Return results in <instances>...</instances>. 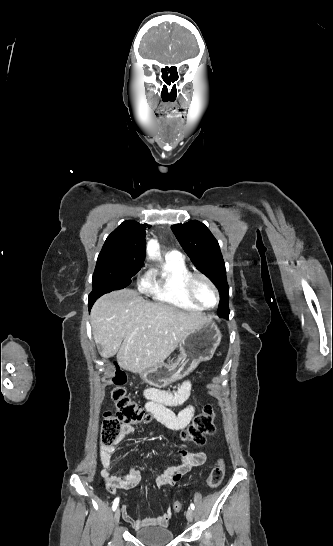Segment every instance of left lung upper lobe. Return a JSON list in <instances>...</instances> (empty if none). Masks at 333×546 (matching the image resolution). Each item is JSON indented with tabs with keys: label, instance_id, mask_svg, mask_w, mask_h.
<instances>
[{
	"label": "left lung upper lobe",
	"instance_id": "1",
	"mask_svg": "<svg viewBox=\"0 0 333 546\" xmlns=\"http://www.w3.org/2000/svg\"><path fill=\"white\" fill-rule=\"evenodd\" d=\"M171 229L196 268L216 285L220 293L218 315L227 319L230 312L229 286L217 240L203 223L196 220L172 225Z\"/></svg>",
	"mask_w": 333,
	"mask_h": 546
}]
</instances>
